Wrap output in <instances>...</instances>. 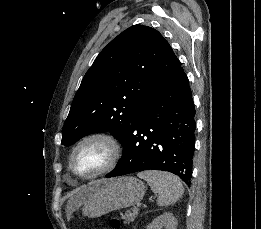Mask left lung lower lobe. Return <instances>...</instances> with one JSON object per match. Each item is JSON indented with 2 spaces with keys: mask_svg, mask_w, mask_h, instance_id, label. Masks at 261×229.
<instances>
[{
  "mask_svg": "<svg viewBox=\"0 0 261 229\" xmlns=\"http://www.w3.org/2000/svg\"><path fill=\"white\" fill-rule=\"evenodd\" d=\"M194 116L188 77L179 67L143 103L122 144V158L106 177L162 170L189 184L195 150Z\"/></svg>",
  "mask_w": 261,
  "mask_h": 229,
  "instance_id": "0a47b994",
  "label": "left lung lower lobe"
}]
</instances>
